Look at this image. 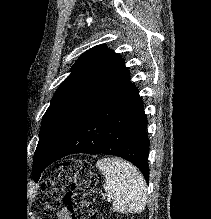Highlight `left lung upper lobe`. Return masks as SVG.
Masks as SVG:
<instances>
[{
  "label": "left lung upper lobe",
  "mask_w": 211,
  "mask_h": 219,
  "mask_svg": "<svg viewBox=\"0 0 211 219\" xmlns=\"http://www.w3.org/2000/svg\"><path fill=\"white\" fill-rule=\"evenodd\" d=\"M71 71L43 116L35 153L43 150L49 157L54 155L80 118L128 70L121 56L99 45L82 54ZM41 172L39 164L33 161L36 182Z\"/></svg>",
  "instance_id": "5c2ea615"
}]
</instances>
